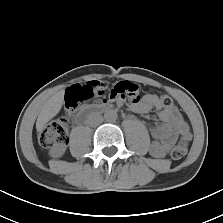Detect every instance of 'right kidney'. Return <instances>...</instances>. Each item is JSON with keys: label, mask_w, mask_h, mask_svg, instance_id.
<instances>
[{"label": "right kidney", "mask_w": 223, "mask_h": 223, "mask_svg": "<svg viewBox=\"0 0 223 223\" xmlns=\"http://www.w3.org/2000/svg\"><path fill=\"white\" fill-rule=\"evenodd\" d=\"M64 152H65V147L63 145H57L51 149L50 154L53 157H59L62 156Z\"/></svg>", "instance_id": "1"}]
</instances>
